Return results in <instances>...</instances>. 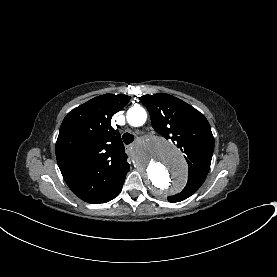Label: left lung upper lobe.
<instances>
[{
    "instance_id": "1",
    "label": "left lung upper lobe",
    "mask_w": 277,
    "mask_h": 277,
    "mask_svg": "<svg viewBox=\"0 0 277 277\" xmlns=\"http://www.w3.org/2000/svg\"><path fill=\"white\" fill-rule=\"evenodd\" d=\"M150 113L157 133L171 139L188 163L189 176L181 193L169 196V202H180L194 194L203 184L210 169L214 137L203 114L184 101L169 94L139 97Z\"/></svg>"
}]
</instances>
